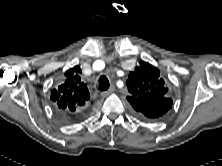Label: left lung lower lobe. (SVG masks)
Segmentation results:
<instances>
[{"mask_svg":"<svg viewBox=\"0 0 222 166\" xmlns=\"http://www.w3.org/2000/svg\"><path fill=\"white\" fill-rule=\"evenodd\" d=\"M162 103H163V113L162 112H155V113H157V114H159L160 116L159 117H161L163 114H165L170 108H171V106H172V100L170 99V98H164L163 99V101H162ZM158 117V118H159Z\"/></svg>","mask_w":222,"mask_h":166,"instance_id":"left-lung-lower-lobe-1","label":"left lung lower lobe"}]
</instances>
